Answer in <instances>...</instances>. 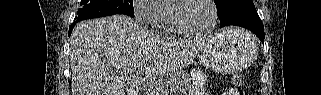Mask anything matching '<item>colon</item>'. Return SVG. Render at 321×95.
<instances>
[{"label":"colon","instance_id":"obj_1","mask_svg":"<svg viewBox=\"0 0 321 95\" xmlns=\"http://www.w3.org/2000/svg\"><path fill=\"white\" fill-rule=\"evenodd\" d=\"M232 84L240 87L244 84V76L242 74H234L232 77Z\"/></svg>","mask_w":321,"mask_h":95}]
</instances>
